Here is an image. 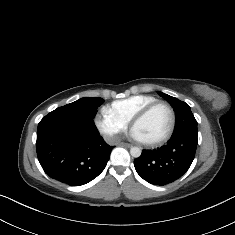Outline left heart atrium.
<instances>
[{"label":"left heart atrium","mask_w":235,"mask_h":235,"mask_svg":"<svg viewBox=\"0 0 235 235\" xmlns=\"http://www.w3.org/2000/svg\"><path fill=\"white\" fill-rule=\"evenodd\" d=\"M131 137L136 140V141H140L138 136L136 135V133L134 132V130L131 131Z\"/></svg>","instance_id":"39dd6f15"}]
</instances>
